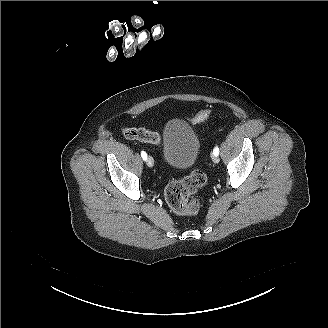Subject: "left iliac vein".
Wrapping results in <instances>:
<instances>
[{"mask_svg": "<svg viewBox=\"0 0 328 328\" xmlns=\"http://www.w3.org/2000/svg\"><path fill=\"white\" fill-rule=\"evenodd\" d=\"M211 158H212V160H213L214 163H218L219 162V158H218L217 155L212 154L211 155Z\"/></svg>", "mask_w": 328, "mask_h": 328, "instance_id": "obj_1", "label": "left iliac vein"}]
</instances>
